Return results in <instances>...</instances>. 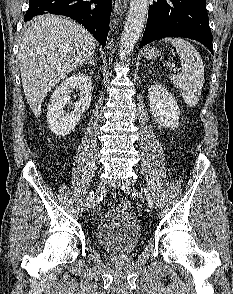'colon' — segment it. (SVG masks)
I'll return each mask as SVG.
<instances>
[{
    "label": "colon",
    "instance_id": "1",
    "mask_svg": "<svg viewBox=\"0 0 233 294\" xmlns=\"http://www.w3.org/2000/svg\"><path fill=\"white\" fill-rule=\"evenodd\" d=\"M118 209L127 211L131 208V203L128 200H123L118 203L117 205Z\"/></svg>",
    "mask_w": 233,
    "mask_h": 294
}]
</instances>
